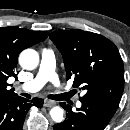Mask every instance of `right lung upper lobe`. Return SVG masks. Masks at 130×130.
I'll list each match as a JSON object with an SVG mask.
<instances>
[{"instance_id": "right-lung-upper-lobe-1", "label": "right lung upper lobe", "mask_w": 130, "mask_h": 130, "mask_svg": "<svg viewBox=\"0 0 130 130\" xmlns=\"http://www.w3.org/2000/svg\"><path fill=\"white\" fill-rule=\"evenodd\" d=\"M45 31H31L15 26L0 28V96L15 95L8 89L7 79L16 77L15 69L19 53L48 37Z\"/></svg>"}]
</instances>
